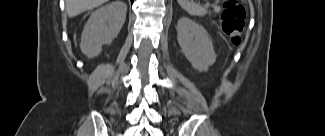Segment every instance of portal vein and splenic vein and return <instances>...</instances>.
<instances>
[{"label": "portal vein and splenic vein", "mask_w": 325, "mask_h": 136, "mask_svg": "<svg viewBox=\"0 0 325 136\" xmlns=\"http://www.w3.org/2000/svg\"><path fill=\"white\" fill-rule=\"evenodd\" d=\"M209 5L207 4L205 7H208ZM215 10H217V8L215 7Z\"/></svg>", "instance_id": "portal-vein-and-splenic-vein-1"}]
</instances>
